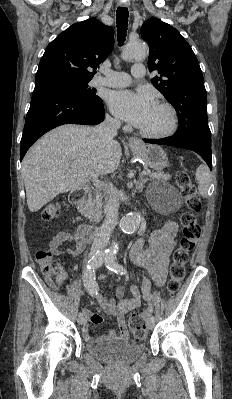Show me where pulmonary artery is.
<instances>
[{
	"mask_svg": "<svg viewBox=\"0 0 232 399\" xmlns=\"http://www.w3.org/2000/svg\"><path fill=\"white\" fill-rule=\"evenodd\" d=\"M132 77H129L128 73H125L123 69L119 71L117 69H103L101 75H97L92 80V85L102 86L103 90H116L117 84L120 90H127V84H134L135 80H142L145 74L143 63H135Z\"/></svg>",
	"mask_w": 232,
	"mask_h": 399,
	"instance_id": "e3ab8cb5",
	"label": "pulmonary artery"
}]
</instances>
